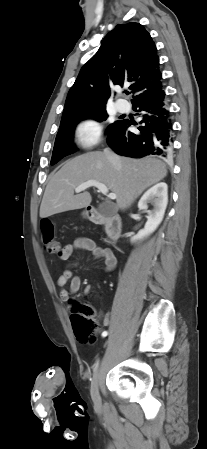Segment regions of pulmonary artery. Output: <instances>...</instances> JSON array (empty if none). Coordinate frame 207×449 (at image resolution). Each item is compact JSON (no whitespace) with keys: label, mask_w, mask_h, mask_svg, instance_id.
<instances>
[{"label":"pulmonary artery","mask_w":207,"mask_h":449,"mask_svg":"<svg viewBox=\"0 0 207 449\" xmlns=\"http://www.w3.org/2000/svg\"><path fill=\"white\" fill-rule=\"evenodd\" d=\"M116 108L120 112H126L128 110V103L124 100H117Z\"/></svg>","instance_id":"e3ab8cb5"}]
</instances>
